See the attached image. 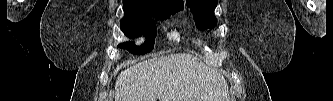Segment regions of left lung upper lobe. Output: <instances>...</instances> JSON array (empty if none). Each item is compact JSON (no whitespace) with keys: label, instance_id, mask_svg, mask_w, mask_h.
<instances>
[{"label":"left lung upper lobe","instance_id":"left-lung-upper-lobe-1","mask_svg":"<svg viewBox=\"0 0 333 101\" xmlns=\"http://www.w3.org/2000/svg\"><path fill=\"white\" fill-rule=\"evenodd\" d=\"M217 3L218 0H186V4L194 14V19L199 29L214 27L216 24L214 10Z\"/></svg>","mask_w":333,"mask_h":101}]
</instances>
